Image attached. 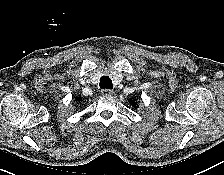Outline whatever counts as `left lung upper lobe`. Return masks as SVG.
Instances as JSON below:
<instances>
[{
  "mask_svg": "<svg viewBox=\"0 0 224 175\" xmlns=\"http://www.w3.org/2000/svg\"><path fill=\"white\" fill-rule=\"evenodd\" d=\"M130 103H131L132 106H134V107L136 106V102L135 101L130 100Z\"/></svg>",
  "mask_w": 224,
  "mask_h": 175,
  "instance_id": "obj_1",
  "label": "left lung upper lobe"
}]
</instances>
